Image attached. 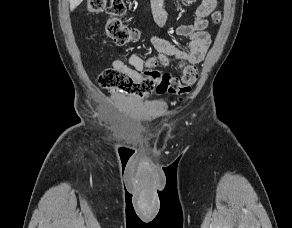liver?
Listing matches in <instances>:
<instances>
[{
    "label": "liver",
    "instance_id": "liver-1",
    "mask_svg": "<svg viewBox=\"0 0 292 228\" xmlns=\"http://www.w3.org/2000/svg\"><path fill=\"white\" fill-rule=\"evenodd\" d=\"M83 0H69L70 10L73 11Z\"/></svg>",
    "mask_w": 292,
    "mask_h": 228
}]
</instances>
